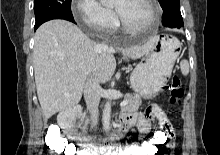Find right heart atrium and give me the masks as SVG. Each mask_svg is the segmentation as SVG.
<instances>
[{
	"mask_svg": "<svg viewBox=\"0 0 220 155\" xmlns=\"http://www.w3.org/2000/svg\"><path fill=\"white\" fill-rule=\"evenodd\" d=\"M72 13L84 29L92 33L108 34L116 25L113 11L98 0H75Z\"/></svg>",
	"mask_w": 220,
	"mask_h": 155,
	"instance_id": "d8ad5b80",
	"label": "right heart atrium"
}]
</instances>
